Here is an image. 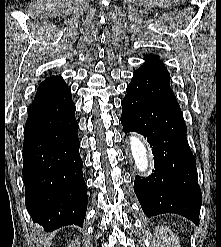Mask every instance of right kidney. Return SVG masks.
Listing matches in <instances>:
<instances>
[{
	"label": "right kidney",
	"instance_id": "obj_1",
	"mask_svg": "<svg viewBox=\"0 0 221 247\" xmlns=\"http://www.w3.org/2000/svg\"><path fill=\"white\" fill-rule=\"evenodd\" d=\"M68 247H80L79 239H76V240L72 241L71 244H69Z\"/></svg>",
	"mask_w": 221,
	"mask_h": 247
}]
</instances>
